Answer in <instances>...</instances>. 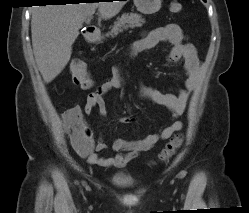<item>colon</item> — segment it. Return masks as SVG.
<instances>
[{
  "instance_id": "obj_1",
  "label": "colon",
  "mask_w": 249,
  "mask_h": 213,
  "mask_svg": "<svg viewBox=\"0 0 249 213\" xmlns=\"http://www.w3.org/2000/svg\"><path fill=\"white\" fill-rule=\"evenodd\" d=\"M170 9L175 13H180L183 9V6L180 2L173 1L170 4ZM70 73L74 84L82 88H89L92 86V80L90 79L87 73L86 64L81 58L75 57L71 60ZM70 134L75 135L77 141H80V138L76 130L72 129L70 131ZM181 145H182V136L181 135L174 136L161 152L160 159L162 161H167L175 154V152L180 148Z\"/></svg>"
}]
</instances>
